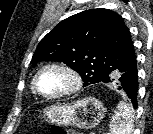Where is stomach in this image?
Wrapping results in <instances>:
<instances>
[{"mask_svg": "<svg viewBox=\"0 0 153 134\" xmlns=\"http://www.w3.org/2000/svg\"><path fill=\"white\" fill-rule=\"evenodd\" d=\"M103 104L95 98H84L73 104H56L44 110L45 121L58 126L80 129L96 127L105 117Z\"/></svg>", "mask_w": 153, "mask_h": 134, "instance_id": "1", "label": "stomach"}]
</instances>
